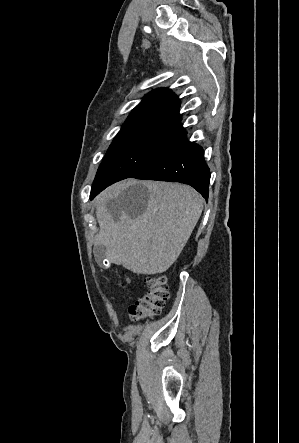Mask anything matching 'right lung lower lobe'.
Here are the masks:
<instances>
[{"mask_svg":"<svg viewBox=\"0 0 299 443\" xmlns=\"http://www.w3.org/2000/svg\"><path fill=\"white\" fill-rule=\"evenodd\" d=\"M185 137L184 130L171 147L130 178L188 184L208 199L210 171L204 161L203 149ZM105 188L91 194V199Z\"/></svg>","mask_w":299,"mask_h":443,"instance_id":"right-lung-lower-lobe-1","label":"right lung lower lobe"}]
</instances>
